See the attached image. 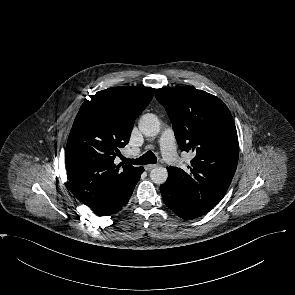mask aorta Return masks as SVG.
Returning <instances> with one entry per match:
<instances>
[{"instance_id": "762f6f07", "label": "aorta", "mask_w": 295, "mask_h": 295, "mask_svg": "<svg viewBox=\"0 0 295 295\" xmlns=\"http://www.w3.org/2000/svg\"><path fill=\"white\" fill-rule=\"evenodd\" d=\"M160 121L158 117L152 113L144 114L138 123L140 131L145 136L154 137L160 132ZM151 180L158 185L166 182L168 178V171L165 167L156 166L150 172Z\"/></svg>"}]
</instances>
